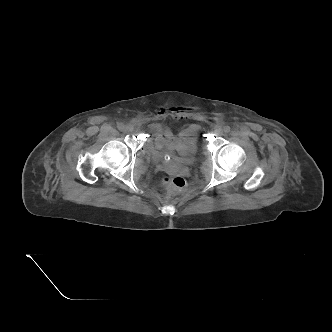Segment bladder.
<instances>
[{
    "mask_svg": "<svg viewBox=\"0 0 332 332\" xmlns=\"http://www.w3.org/2000/svg\"><path fill=\"white\" fill-rule=\"evenodd\" d=\"M149 149L152 153L153 158L157 162H166L165 161V156L170 155L173 156L172 153L170 152H163V151H158L153 149L151 146H149ZM199 150V144L197 142H194L190 145H186L183 149L181 150H176V155L179 158L180 161L182 162H188L192 160L198 153Z\"/></svg>",
    "mask_w": 332,
    "mask_h": 332,
    "instance_id": "obj_1",
    "label": "bladder"
}]
</instances>
